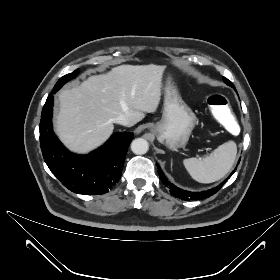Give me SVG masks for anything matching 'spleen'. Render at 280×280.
I'll use <instances>...</instances> for the list:
<instances>
[{
	"instance_id": "obj_1",
	"label": "spleen",
	"mask_w": 280,
	"mask_h": 280,
	"mask_svg": "<svg viewBox=\"0 0 280 280\" xmlns=\"http://www.w3.org/2000/svg\"><path fill=\"white\" fill-rule=\"evenodd\" d=\"M237 155L234 141L220 145L203 159H184L183 164L191 177L200 183H212L223 178L232 168Z\"/></svg>"
}]
</instances>
